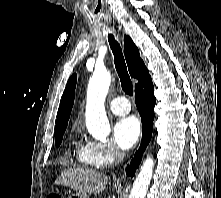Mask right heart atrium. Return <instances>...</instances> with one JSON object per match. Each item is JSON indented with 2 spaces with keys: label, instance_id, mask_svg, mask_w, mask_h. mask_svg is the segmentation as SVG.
Segmentation results:
<instances>
[{
  "label": "right heart atrium",
  "instance_id": "d8ad5b80",
  "mask_svg": "<svg viewBox=\"0 0 221 198\" xmlns=\"http://www.w3.org/2000/svg\"><path fill=\"white\" fill-rule=\"evenodd\" d=\"M92 160L98 167L108 166L122 157V152L112 142H89Z\"/></svg>",
  "mask_w": 221,
  "mask_h": 198
}]
</instances>
